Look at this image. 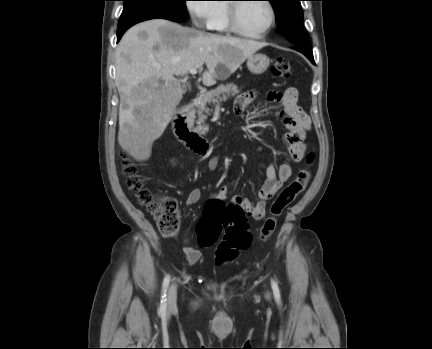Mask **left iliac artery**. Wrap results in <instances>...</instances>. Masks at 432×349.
<instances>
[{"instance_id": "left-iliac-artery-1", "label": "left iliac artery", "mask_w": 432, "mask_h": 349, "mask_svg": "<svg viewBox=\"0 0 432 349\" xmlns=\"http://www.w3.org/2000/svg\"><path fill=\"white\" fill-rule=\"evenodd\" d=\"M271 286L273 289L275 300L278 304H280L281 303L280 290H279L277 282L273 279L271 280Z\"/></svg>"}]
</instances>
